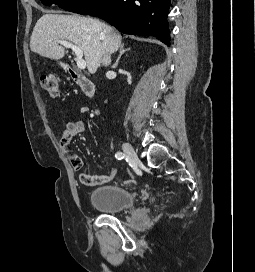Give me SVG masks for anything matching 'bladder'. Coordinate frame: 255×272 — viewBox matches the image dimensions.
<instances>
[{"label": "bladder", "mask_w": 255, "mask_h": 272, "mask_svg": "<svg viewBox=\"0 0 255 272\" xmlns=\"http://www.w3.org/2000/svg\"><path fill=\"white\" fill-rule=\"evenodd\" d=\"M90 202L105 214L115 215L135 204V195L117 185H104L90 193Z\"/></svg>", "instance_id": "31cf9c89"}]
</instances>
